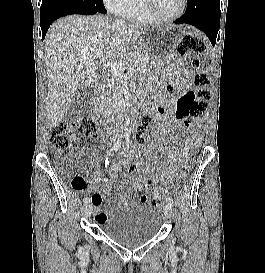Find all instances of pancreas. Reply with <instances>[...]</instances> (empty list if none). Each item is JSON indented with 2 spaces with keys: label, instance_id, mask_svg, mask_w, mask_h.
<instances>
[{
  "label": "pancreas",
  "instance_id": "pancreas-1",
  "mask_svg": "<svg viewBox=\"0 0 265 273\" xmlns=\"http://www.w3.org/2000/svg\"><path fill=\"white\" fill-rule=\"evenodd\" d=\"M123 65L134 67L135 72L141 71L148 64V56L144 51L135 49L125 53L120 59ZM122 79L120 76L113 74L110 83L104 86L99 92L100 97L96 100L95 105L100 111H108L112 108L113 103L122 89Z\"/></svg>",
  "mask_w": 265,
  "mask_h": 273
}]
</instances>
